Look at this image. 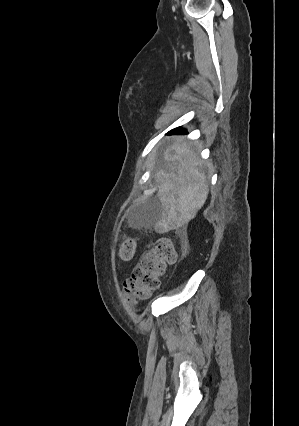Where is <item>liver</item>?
<instances>
[{
  "instance_id": "1",
  "label": "liver",
  "mask_w": 299,
  "mask_h": 426,
  "mask_svg": "<svg viewBox=\"0 0 299 426\" xmlns=\"http://www.w3.org/2000/svg\"><path fill=\"white\" fill-rule=\"evenodd\" d=\"M163 158L169 163V173L162 174L156 194L162 205V215L155 223L160 233L188 224L205 204L209 192L205 173L199 169L203 162L183 137H177L166 148Z\"/></svg>"
}]
</instances>
